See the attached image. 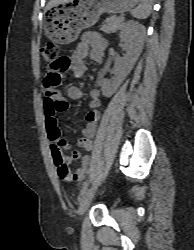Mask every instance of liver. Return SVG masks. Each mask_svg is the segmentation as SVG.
Returning a JSON list of instances; mask_svg holds the SVG:
<instances>
[{
  "label": "liver",
  "instance_id": "liver-1",
  "mask_svg": "<svg viewBox=\"0 0 194 250\" xmlns=\"http://www.w3.org/2000/svg\"><path fill=\"white\" fill-rule=\"evenodd\" d=\"M73 0H50L49 3L47 4L46 9H50L51 7L58 5V4H64V3H69L72 2Z\"/></svg>",
  "mask_w": 194,
  "mask_h": 250
}]
</instances>
